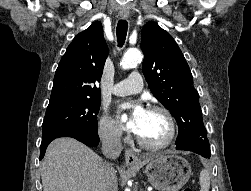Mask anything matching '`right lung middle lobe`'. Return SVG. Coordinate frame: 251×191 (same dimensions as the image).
<instances>
[{
	"label": "right lung middle lobe",
	"instance_id": "right-lung-middle-lobe-1",
	"mask_svg": "<svg viewBox=\"0 0 251 191\" xmlns=\"http://www.w3.org/2000/svg\"><path fill=\"white\" fill-rule=\"evenodd\" d=\"M99 108L100 99L72 101L48 106L42 124V137L71 127L97 132Z\"/></svg>",
	"mask_w": 251,
	"mask_h": 191
}]
</instances>
